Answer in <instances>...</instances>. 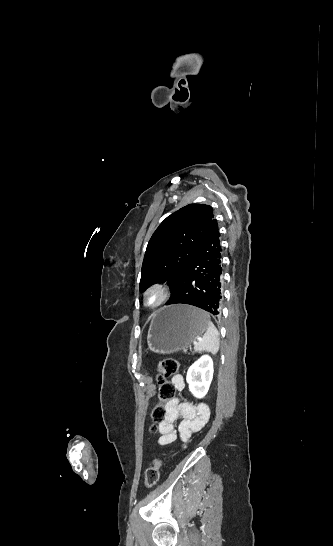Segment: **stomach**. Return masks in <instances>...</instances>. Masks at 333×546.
<instances>
[{
	"mask_svg": "<svg viewBox=\"0 0 333 546\" xmlns=\"http://www.w3.org/2000/svg\"><path fill=\"white\" fill-rule=\"evenodd\" d=\"M207 313L196 307L176 304L154 313L147 336L148 349L171 354L186 350L207 330Z\"/></svg>",
	"mask_w": 333,
	"mask_h": 546,
	"instance_id": "0dacf381",
	"label": "stomach"
}]
</instances>
